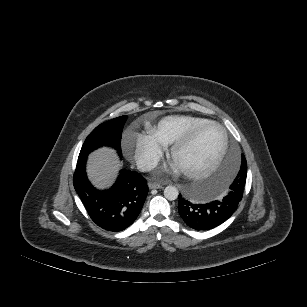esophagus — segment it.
Returning a JSON list of instances; mask_svg holds the SVG:
<instances>
[{
	"label": "esophagus",
	"mask_w": 307,
	"mask_h": 307,
	"mask_svg": "<svg viewBox=\"0 0 307 307\" xmlns=\"http://www.w3.org/2000/svg\"><path fill=\"white\" fill-rule=\"evenodd\" d=\"M148 186L150 189H159L162 188V185H160L159 183L156 182H149Z\"/></svg>",
	"instance_id": "34e87169"
}]
</instances>
